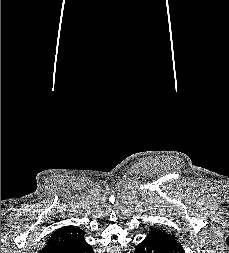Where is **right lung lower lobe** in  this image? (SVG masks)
<instances>
[{"label":"right lung lower lobe","mask_w":229,"mask_h":253,"mask_svg":"<svg viewBox=\"0 0 229 253\" xmlns=\"http://www.w3.org/2000/svg\"><path fill=\"white\" fill-rule=\"evenodd\" d=\"M55 253H94L92 247L86 243L85 239L67 248L60 249Z\"/></svg>","instance_id":"obj_1"}]
</instances>
